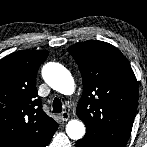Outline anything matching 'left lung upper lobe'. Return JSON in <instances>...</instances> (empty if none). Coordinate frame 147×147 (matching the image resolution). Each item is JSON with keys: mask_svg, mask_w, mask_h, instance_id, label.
Returning a JSON list of instances; mask_svg holds the SVG:
<instances>
[{"mask_svg": "<svg viewBox=\"0 0 147 147\" xmlns=\"http://www.w3.org/2000/svg\"><path fill=\"white\" fill-rule=\"evenodd\" d=\"M79 66L83 94L77 115L86 125L83 137L96 147H125L137 111L133 70L113 45L89 40L68 48Z\"/></svg>", "mask_w": 147, "mask_h": 147, "instance_id": "obj_1", "label": "left lung upper lobe"}]
</instances>
